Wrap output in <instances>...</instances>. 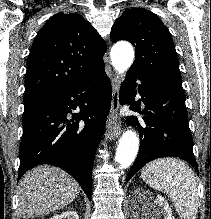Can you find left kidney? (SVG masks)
<instances>
[{
	"instance_id": "1",
	"label": "left kidney",
	"mask_w": 211,
	"mask_h": 219,
	"mask_svg": "<svg viewBox=\"0 0 211 219\" xmlns=\"http://www.w3.org/2000/svg\"><path fill=\"white\" fill-rule=\"evenodd\" d=\"M141 194V193H140ZM144 200L141 202L142 205H152L153 208H150L144 213L145 219H156L159 216L163 215V219H175L172 215L171 208L169 207L168 202L162 197L157 196L156 199H152L149 193L146 191L143 192ZM148 200V201H146ZM149 200H152L149 202Z\"/></svg>"
}]
</instances>
